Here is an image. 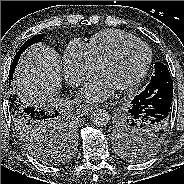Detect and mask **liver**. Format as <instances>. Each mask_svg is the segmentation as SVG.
<instances>
[{
	"label": "liver",
	"mask_w": 184,
	"mask_h": 184,
	"mask_svg": "<svg viewBox=\"0 0 184 184\" xmlns=\"http://www.w3.org/2000/svg\"><path fill=\"white\" fill-rule=\"evenodd\" d=\"M61 66L52 47L39 43L21 56L14 73L13 91L28 105L52 102L61 88Z\"/></svg>",
	"instance_id": "6515ba94"
}]
</instances>
